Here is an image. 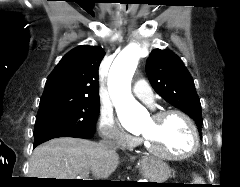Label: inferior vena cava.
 I'll use <instances>...</instances> for the list:
<instances>
[{"label": "inferior vena cava", "mask_w": 240, "mask_h": 187, "mask_svg": "<svg viewBox=\"0 0 240 187\" xmlns=\"http://www.w3.org/2000/svg\"><path fill=\"white\" fill-rule=\"evenodd\" d=\"M102 145L105 147V149L107 150H115L116 149V145L114 142L112 141H103Z\"/></svg>", "instance_id": "1"}]
</instances>
